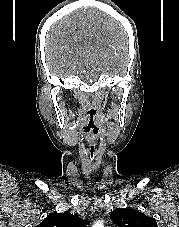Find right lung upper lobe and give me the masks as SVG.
<instances>
[{
  "label": "right lung upper lobe",
  "mask_w": 179,
  "mask_h": 227,
  "mask_svg": "<svg viewBox=\"0 0 179 227\" xmlns=\"http://www.w3.org/2000/svg\"><path fill=\"white\" fill-rule=\"evenodd\" d=\"M36 227H86L85 222L78 214H71L69 211L64 213L49 214Z\"/></svg>",
  "instance_id": "cb5924a9"
}]
</instances>
